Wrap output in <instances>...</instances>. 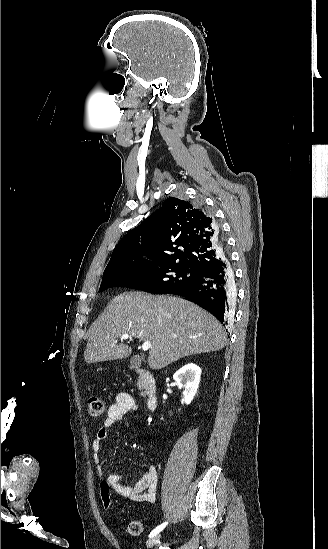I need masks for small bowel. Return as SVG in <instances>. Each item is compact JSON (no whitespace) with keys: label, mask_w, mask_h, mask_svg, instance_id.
Returning <instances> with one entry per match:
<instances>
[{"label":"small bowel","mask_w":328,"mask_h":549,"mask_svg":"<svg viewBox=\"0 0 328 549\" xmlns=\"http://www.w3.org/2000/svg\"><path fill=\"white\" fill-rule=\"evenodd\" d=\"M137 410L138 405L130 394L119 392L115 395L113 404L108 408L104 424L96 433L92 444L93 461L96 464L98 476L101 477L104 475L101 466V450L109 428L122 420L127 414ZM127 477V475L123 474L109 473L105 477V482L118 495L133 502L153 503L156 500L158 477L156 468L152 464L146 466L137 481L125 485L124 481Z\"/></svg>","instance_id":"small-bowel-1"}]
</instances>
